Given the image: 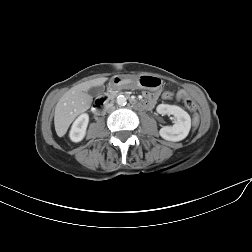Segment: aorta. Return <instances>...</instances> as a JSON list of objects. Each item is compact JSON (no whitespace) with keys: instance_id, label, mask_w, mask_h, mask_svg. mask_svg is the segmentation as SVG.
<instances>
[{"instance_id":"1","label":"aorta","mask_w":252,"mask_h":252,"mask_svg":"<svg viewBox=\"0 0 252 252\" xmlns=\"http://www.w3.org/2000/svg\"><path fill=\"white\" fill-rule=\"evenodd\" d=\"M116 102H117L118 105L124 106L127 103V99H126V97L124 95H119L117 97V99H116Z\"/></svg>"}]
</instances>
